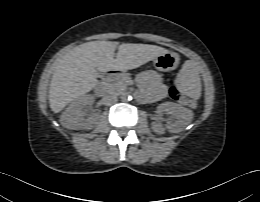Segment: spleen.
I'll return each mask as SVG.
<instances>
[{"mask_svg":"<svg viewBox=\"0 0 260 202\" xmlns=\"http://www.w3.org/2000/svg\"><path fill=\"white\" fill-rule=\"evenodd\" d=\"M181 90L191 97H199L201 82L198 72L191 63H185L178 74Z\"/></svg>","mask_w":260,"mask_h":202,"instance_id":"1","label":"spleen"}]
</instances>
